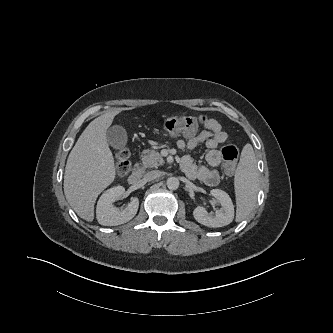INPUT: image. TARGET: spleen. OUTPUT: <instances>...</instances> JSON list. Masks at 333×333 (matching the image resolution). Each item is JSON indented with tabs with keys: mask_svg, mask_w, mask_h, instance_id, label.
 Wrapping results in <instances>:
<instances>
[{
	"mask_svg": "<svg viewBox=\"0 0 333 333\" xmlns=\"http://www.w3.org/2000/svg\"><path fill=\"white\" fill-rule=\"evenodd\" d=\"M258 177L254 150L251 144H246L241 152L240 161L234 177L237 222L245 219L256 204Z\"/></svg>",
	"mask_w": 333,
	"mask_h": 333,
	"instance_id": "1",
	"label": "spleen"
}]
</instances>
